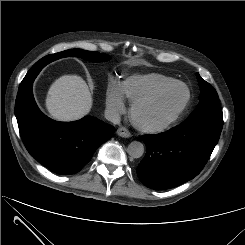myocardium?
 <instances>
[{"label": "myocardium", "instance_id": "obj_1", "mask_svg": "<svg viewBox=\"0 0 245 245\" xmlns=\"http://www.w3.org/2000/svg\"><path fill=\"white\" fill-rule=\"evenodd\" d=\"M175 86H182L186 90V98L185 101L183 102L182 106L178 109V111L167 121L157 124V125H149L143 123L139 119V110L146 104L151 103L157 99H159L162 95H164L168 90ZM191 103V91L190 88L188 87L187 84L181 81H173L155 91L152 93H149L145 96H142L135 100L130 109V115H131V120L133 125L139 129L140 131L146 132V133H151V134H156V133H161L164 132L168 129H170L172 126H174L185 114L187 111L189 105Z\"/></svg>", "mask_w": 245, "mask_h": 245}]
</instances>
